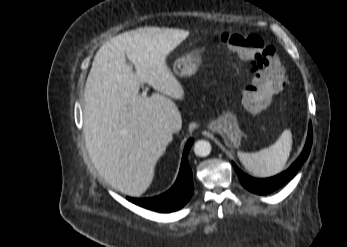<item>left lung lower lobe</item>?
<instances>
[{
    "instance_id": "1",
    "label": "left lung lower lobe",
    "mask_w": 347,
    "mask_h": 247,
    "mask_svg": "<svg viewBox=\"0 0 347 247\" xmlns=\"http://www.w3.org/2000/svg\"><path fill=\"white\" fill-rule=\"evenodd\" d=\"M312 145V128L311 124L309 125V132L307 137V142L305 144V147L301 153V155L298 157V159L290 166L288 170L285 172L276 175L271 178L267 179H255L252 178L246 174H244L234 163L233 166L238 174V177L240 179L241 184L247 188L249 191L264 195L268 194L272 191H275L276 189L283 186L285 183H287L300 169L302 164L307 159L310 149Z\"/></svg>"
}]
</instances>
